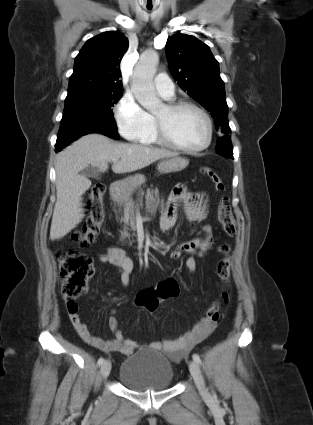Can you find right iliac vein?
Wrapping results in <instances>:
<instances>
[{"instance_id": "obj_1", "label": "right iliac vein", "mask_w": 313, "mask_h": 425, "mask_svg": "<svg viewBox=\"0 0 313 425\" xmlns=\"http://www.w3.org/2000/svg\"><path fill=\"white\" fill-rule=\"evenodd\" d=\"M111 371V362L109 360H106L103 365L101 366V375L103 378H107Z\"/></svg>"}]
</instances>
